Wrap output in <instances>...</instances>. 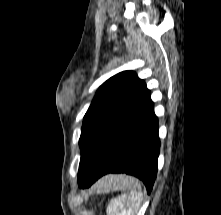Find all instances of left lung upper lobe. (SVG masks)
I'll list each match as a JSON object with an SVG mask.
<instances>
[{"instance_id":"left-lung-upper-lobe-1","label":"left lung upper lobe","mask_w":221,"mask_h":215,"mask_svg":"<svg viewBox=\"0 0 221 215\" xmlns=\"http://www.w3.org/2000/svg\"><path fill=\"white\" fill-rule=\"evenodd\" d=\"M145 88V82L133 71L120 72L100 86L83 119L78 181L90 170L115 119L141 96Z\"/></svg>"}]
</instances>
